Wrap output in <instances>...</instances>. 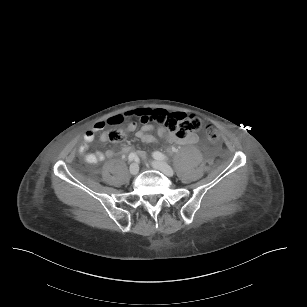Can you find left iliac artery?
I'll list each match as a JSON object with an SVG mask.
<instances>
[{
    "instance_id": "44dca946",
    "label": "left iliac artery",
    "mask_w": 307,
    "mask_h": 307,
    "mask_svg": "<svg viewBox=\"0 0 307 307\" xmlns=\"http://www.w3.org/2000/svg\"><path fill=\"white\" fill-rule=\"evenodd\" d=\"M174 152H177V151L174 150ZM153 157H154V159H157V160H166L167 159V157L159 151H155L153 153Z\"/></svg>"
}]
</instances>
